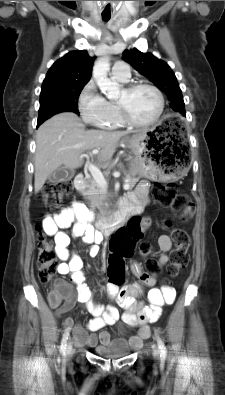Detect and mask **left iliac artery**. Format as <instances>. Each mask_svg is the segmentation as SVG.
<instances>
[{
  "label": "left iliac artery",
  "instance_id": "44dca946",
  "mask_svg": "<svg viewBox=\"0 0 225 395\" xmlns=\"http://www.w3.org/2000/svg\"><path fill=\"white\" fill-rule=\"evenodd\" d=\"M157 343L160 349V356L164 358L166 356V348L162 339L159 336H157Z\"/></svg>",
  "mask_w": 225,
  "mask_h": 395
}]
</instances>
